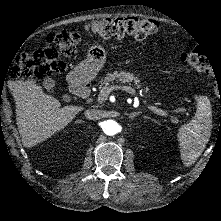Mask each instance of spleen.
Segmentation results:
<instances>
[{"label":"spleen","instance_id":"spleen-1","mask_svg":"<svg viewBox=\"0 0 221 221\" xmlns=\"http://www.w3.org/2000/svg\"><path fill=\"white\" fill-rule=\"evenodd\" d=\"M212 110L210 101L199 97L194 118L179 128L177 138L181 160L186 167L196 162L209 141L212 130Z\"/></svg>","mask_w":221,"mask_h":221}]
</instances>
